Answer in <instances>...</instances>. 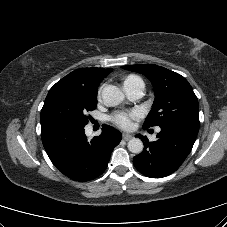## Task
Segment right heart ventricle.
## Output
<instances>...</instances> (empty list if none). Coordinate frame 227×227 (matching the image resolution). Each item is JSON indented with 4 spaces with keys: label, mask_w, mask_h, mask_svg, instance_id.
<instances>
[{
    "label": "right heart ventricle",
    "mask_w": 227,
    "mask_h": 227,
    "mask_svg": "<svg viewBox=\"0 0 227 227\" xmlns=\"http://www.w3.org/2000/svg\"><path fill=\"white\" fill-rule=\"evenodd\" d=\"M141 80L138 76H135V75H129L125 81H124V84L126 83H131V82H135V81H139Z\"/></svg>",
    "instance_id": "obj_1"
}]
</instances>
